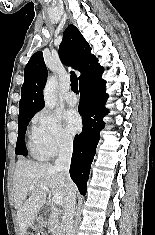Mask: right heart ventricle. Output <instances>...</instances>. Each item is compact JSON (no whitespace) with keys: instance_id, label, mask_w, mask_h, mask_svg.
<instances>
[{"instance_id":"right-heart-ventricle-1","label":"right heart ventricle","mask_w":155,"mask_h":235,"mask_svg":"<svg viewBox=\"0 0 155 235\" xmlns=\"http://www.w3.org/2000/svg\"><path fill=\"white\" fill-rule=\"evenodd\" d=\"M30 150L32 155L37 159H45L48 156L38 147V145L35 143V141L31 140L30 142Z\"/></svg>"}]
</instances>
